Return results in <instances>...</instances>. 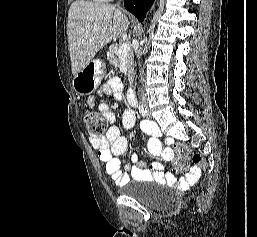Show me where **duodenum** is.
Instances as JSON below:
<instances>
[{
	"mask_svg": "<svg viewBox=\"0 0 257 237\" xmlns=\"http://www.w3.org/2000/svg\"><path fill=\"white\" fill-rule=\"evenodd\" d=\"M127 99H128V102L131 104V105H135L136 104V99H135V92L133 89H129L127 91Z\"/></svg>",
	"mask_w": 257,
	"mask_h": 237,
	"instance_id": "duodenum-1",
	"label": "duodenum"
}]
</instances>
